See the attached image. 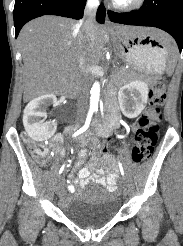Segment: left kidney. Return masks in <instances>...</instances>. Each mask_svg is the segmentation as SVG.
I'll list each match as a JSON object with an SVG mask.
<instances>
[{
    "instance_id": "5707ae66",
    "label": "left kidney",
    "mask_w": 183,
    "mask_h": 246,
    "mask_svg": "<svg viewBox=\"0 0 183 246\" xmlns=\"http://www.w3.org/2000/svg\"><path fill=\"white\" fill-rule=\"evenodd\" d=\"M148 92V85L140 80L122 86L118 92L122 113L128 118H135L141 114L148 99Z\"/></svg>"
}]
</instances>
